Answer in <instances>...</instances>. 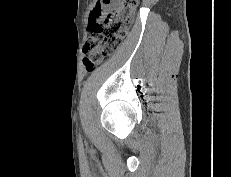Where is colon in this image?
I'll list each match as a JSON object with an SVG mask.
<instances>
[{"label":"colon","instance_id":"1","mask_svg":"<svg viewBox=\"0 0 231 177\" xmlns=\"http://www.w3.org/2000/svg\"><path fill=\"white\" fill-rule=\"evenodd\" d=\"M106 4H116V8L99 21L101 6ZM137 5L138 0L98 2L89 20V37L83 48V64L87 71L94 70L117 50L132 24Z\"/></svg>","mask_w":231,"mask_h":177}]
</instances>
